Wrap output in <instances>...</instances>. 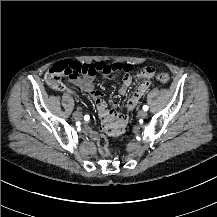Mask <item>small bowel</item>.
Masks as SVG:
<instances>
[{
    "label": "small bowel",
    "mask_w": 217,
    "mask_h": 217,
    "mask_svg": "<svg viewBox=\"0 0 217 217\" xmlns=\"http://www.w3.org/2000/svg\"><path fill=\"white\" fill-rule=\"evenodd\" d=\"M144 68L141 69L137 74V77L139 79H145L147 77H150L144 73ZM71 80L73 84L76 85L82 92L89 95V97L97 107L98 111L102 108L100 111V129L103 133L108 135H115L120 133L123 129V122L125 128L128 117L126 115L120 116L114 107L106 105V96L98 88L96 74L85 75L83 77H75ZM133 80L134 76L130 72H125L119 87L120 96H125L127 94ZM147 88V84L143 83L133 90L125 104V109L127 112L132 111L137 106L140 99L145 94ZM59 89L66 92L67 94L74 93L71 88L63 84H61V87ZM112 104L113 106H116L113 101ZM86 130L90 137L94 139L97 138V132L95 130L90 127H88Z\"/></svg>",
    "instance_id": "obj_1"
}]
</instances>
